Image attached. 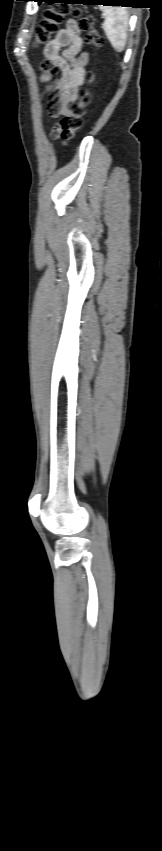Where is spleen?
Instances as JSON below:
<instances>
[{
    "label": "spleen",
    "instance_id": "1",
    "mask_svg": "<svg viewBox=\"0 0 162 851\" xmlns=\"http://www.w3.org/2000/svg\"><path fill=\"white\" fill-rule=\"evenodd\" d=\"M100 10L103 12V16L105 19L103 28L108 40L117 52H122L125 48L127 39V10L122 7L104 6H101Z\"/></svg>",
    "mask_w": 162,
    "mask_h": 851
}]
</instances>
